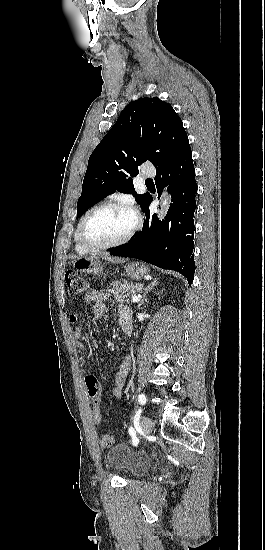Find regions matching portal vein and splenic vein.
Listing matches in <instances>:
<instances>
[{
  "instance_id": "portal-vein-and-splenic-vein-1",
  "label": "portal vein and splenic vein",
  "mask_w": 265,
  "mask_h": 550,
  "mask_svg": "<svg viewBox=\"0 0 265 550\" xmlns=\"http://www.w3.org/2000/svg\"><path fill=\"white\" fill-rule=\"evenodd\" d=\"M141 298H142V296L140 294H138V295H136L132 298L131 302L137 303L141 300Z\"/></svg>"
}]
</instances>
